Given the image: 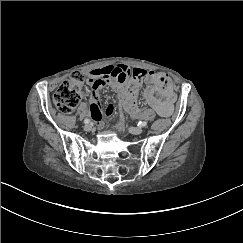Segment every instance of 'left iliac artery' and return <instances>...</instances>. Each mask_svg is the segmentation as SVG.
<instances>
[{
    "label": "left iliac artery",
    "mask_w": 243,
    "mask_h": 243,
    "mask_svg": "<svg viewBox=\"0 0 243 243\" xmlns=\"http://www.w3.org/2000/svg\"><path fill=\"white\" fill-rule=\"evenodd\" d=\"M138 126H139V127H145V126H147V122H146V121H140V122L138 123Z\"/></svg>",
    "instance_id": "left-iliac-artery-1"
}]
</instances>
